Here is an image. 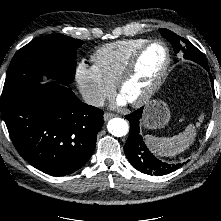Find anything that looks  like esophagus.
Returning a JSON list of instances; mask_svg holds the SVG:
<instances>
[{"label": "esophagus", "instance_id": "obj_1", "mask_svg": "<svg viewBox=\"0 0 221 221\" xmlns=\"http://www.w3.org/2000/svg\"><path fill=\"white\" fill-rule=\"evenodd\" d=\"M112 117H114V114H112V113L106 112V113L104 114V120H105V121H108V120L111 119Z\"/></svg>", "mask_w": 221, "mask_h": 221}]
</instances>
